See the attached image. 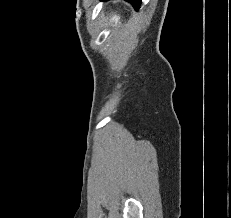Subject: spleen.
Instances as JSON below:
<instances>
[{
    "label": "spleen",
    "mask_w": 231,
    "mask_h": 218,
    "mask_svg": "<svg viewBox=\"0 0 231 218\" xmlns=\"http://www.w3.org/2000/svg\"><path fill=\"white\" fill-rule=\"evenodd\" d=\"M119 19H120V17L115 15V16L112 18V22H115V24H117V23L119 22Z\"/></svg>",
    "instance_id": "1"
}]
</instances>
